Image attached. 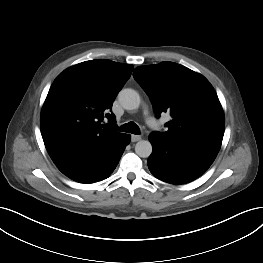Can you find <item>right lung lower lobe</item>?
<instances>
[{"mask_svg": "<svg viewBox=\"0 0 263 263\" xmlns=\"http://www.w3.org/2000/svg\"><path fill=\"white\" fill-rule=\"evenodd\" d=\"M129 141L130 136L124 134L115 145L80 156L58 168L64 175L80 183L101 181L114 171Z\"/></svg>", "mask_w": 263, "mask_h": 263, "instance_id": "obj_1", "label": "right lung lower lobe"}]
</instances>
